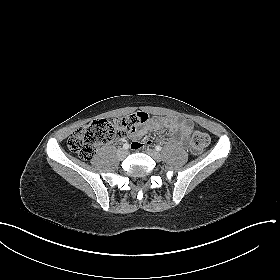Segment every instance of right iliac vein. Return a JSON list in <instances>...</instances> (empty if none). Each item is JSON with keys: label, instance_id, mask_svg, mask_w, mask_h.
<instances>
[{"label": "right iliac vein", "instance_id": "obj_1", "mask_svg": "<svg viewBox=\"0 0 280 280\" xmlns=\"http://www.w3.org/2000/svg\"><path fill=\"white\" fill-rule=\"evenodd\" d=\"M128 155V152L124 149H120L118 152H117V156L119 159H124L126 156Z\"/></svg>", "mask_w": 280, "mask_h": 280}]
</instances>
